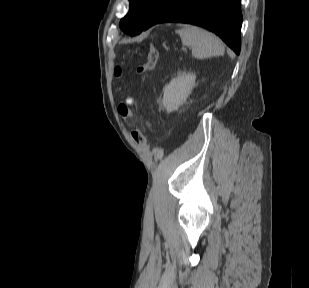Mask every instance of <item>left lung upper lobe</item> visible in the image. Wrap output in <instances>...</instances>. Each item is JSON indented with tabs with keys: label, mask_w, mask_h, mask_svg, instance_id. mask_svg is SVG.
Here are the masks:
<instances>
[{
	"label": "left lung upper lobe",
	"mask_w": 309,
	"mask_h": 288,
	"mask_svg": "<svg viewBox=\"0 0 309 288\" xmlns=\"http://www.w3.org/2000/svg\"><path fill=\"white\" fill-rule=\"evenodd\" d=\"M128 14L121 19L120 28L129 35L136 34L146 24L163 0H129Z\"/></svg>",
	"instance_id": "left-lung-upper-lobe-1"
}]
</instances>
